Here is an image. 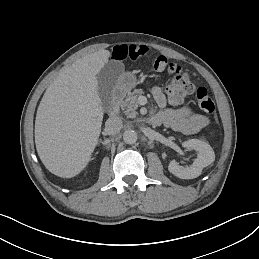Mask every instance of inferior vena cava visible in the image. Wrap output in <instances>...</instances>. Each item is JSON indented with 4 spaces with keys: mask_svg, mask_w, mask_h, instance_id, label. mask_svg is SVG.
<instances>
[{
    "mask_svg": "<svg viewBox=\"0 0 259 259\" xmlns=\"http://www.w3.org/2000/svg\"><path fill=\"white\" fill-rule=\"evenodd\" d=\"M106 131L114 134L119 133L123 128V120L120 116H113L106 120L105 123Z\"/></svg>",
    "mask_w": 259,
    "mask_h": 259,
    "instance_id": "602c4592",
    "label": "inferior vena cava"
}]
</instances>
